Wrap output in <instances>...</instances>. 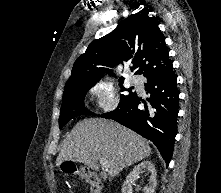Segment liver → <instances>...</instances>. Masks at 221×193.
Wrapping results in <instances>:
<instances>
[{
	"label": "liver",
	"mask_w": 221,
	"mask_h": 193,
	"mask_svg": "<svg viewBox=\"0 0 221 193\" xmlns=\"http://www.w3.org/2000/svg\"><path fill=\"white\" fill-rule=\"evenodd\" d=\"M150 154L148 141L134 131L110 120L89 118L73 127L63 142L56 165L75 161L98 170V161L106 160L108 174L115 177Z\"/></svg>",
	"instance_id": "liver-1"
}]
</instances>
